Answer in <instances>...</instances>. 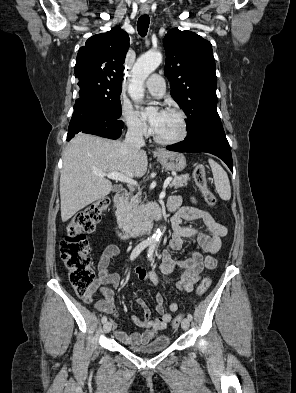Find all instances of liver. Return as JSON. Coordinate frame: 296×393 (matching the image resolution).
Masks as SVG:
<instances>
[{"label":"liver","instance_id":"liver-1","mask_svg":"<svg viewBox=\"0 0 296 393\" xmlns=\"http://www.w3.org/2000/svg\"><path fill=\"white\" fill-rule=\"evenodd\" d=\"M122 142L78 133L63 153L60 176L61 218L69 220L76 212L106 197L112 183L94 172H119L127 177H142L148 166L147 155L140 150L129 157Z\"/></svg>","mask_w":296,"mask_h":393}]
</instances>
